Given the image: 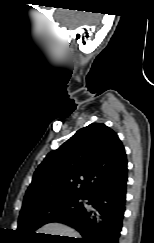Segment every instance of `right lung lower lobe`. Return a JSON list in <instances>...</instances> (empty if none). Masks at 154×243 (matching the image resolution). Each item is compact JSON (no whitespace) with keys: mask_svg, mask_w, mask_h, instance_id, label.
Wrapping results in <instances>:
<instances>
[{"mask_svg":"<svg viewBox=\"0 0 154 243\" xmlns=\"http://www.w3.org/2000/svg\"><path fill=\"white\" fill-rule=\"evenodd\" d=\"M127 166L101 181L86 196L88 206L58 217L82 236L71 243H118L125 211Z\"/></svg>","mask_w":154,"mask_h":243,"instance_id":"right-lung-lower-lobe-1","label":"right lung lower lobe"}]
</instances>
